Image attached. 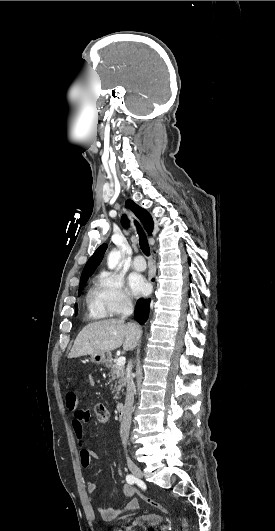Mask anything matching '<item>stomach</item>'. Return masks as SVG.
Instances as JSON below:
<instances>
[{
  "label": "stomach",
  "instance_id": "0dacf381",
  "mask_svg": "<svg viewBox=\"0 0 275 531\" xmlns=\"http://www.w3.org/2000/svg\"><path fill=\"white\" fill-rule=\"evenodd\" d=\"M90 361L96 365H110L112 361L111 351H96L91 355Z\"/></svg>",
  "mask_w": 275,
  "mask_h": 531
}]
</instances>
